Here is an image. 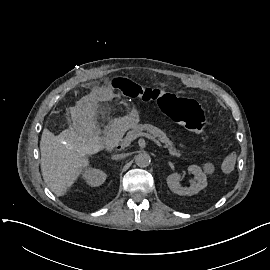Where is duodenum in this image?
<instances>
[{
    "label": "duodenum",
    "mask_w": 270,
    "mask_h": 270,
    "mask_svg": "<svg viewBox=\"0 0 270 270\" xmlns=\"http://www.w3.org/2000/svg\"><path fill=\"white\" fill-rule=\"evenodd\" d=\"M125 128L126 123L122 120H116L108 126L104 135V143L107 149H114L119 144Z\"/></svg>",
    "instance_id": "obj_1"
}]
</instances>
